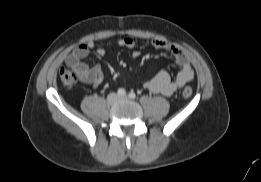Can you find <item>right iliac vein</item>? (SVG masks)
Returning a JSON list of instances; mask_svg holds the SVG:
<instances>
[{
    "instance_id": "63e3f726",
    "label": "right iliac vein",
    "mask_w": 261,
    "mask_h": 182,
    "mask_svg": "<svg viewBox=\"0 0 261 182\" xmlns=\"http://www.w3.org/2000/svg\"><path fill=\"white\" fill-rule=\"evenodd\" d=\"M118 100V97L116 94L112 93L107 97V101L109 104H114Z\"/></svg>"
}]
</instances>
